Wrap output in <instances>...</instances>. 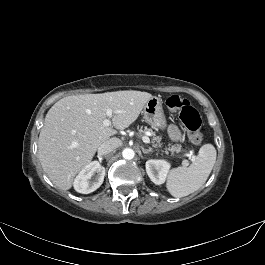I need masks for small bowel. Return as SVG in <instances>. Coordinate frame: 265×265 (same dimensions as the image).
Masks as SVG:
<instances>
[{
  "mask_svg": "<svg viewBox=\"0 0 265 265\" xmlns=\"http://www.w3.org/2000/svg\"><path fill=\"white\" fill-rule=\"evenodd\" d=\"M169 134L173 140H179L181 138V133L175 125H170Z\"/></svg>",
  "mask_w": 265,
  "mask_h": 265,
  "instance_id": "c3829d8e",
  "label": "small bowel"
}]
</instances>
